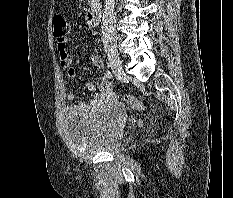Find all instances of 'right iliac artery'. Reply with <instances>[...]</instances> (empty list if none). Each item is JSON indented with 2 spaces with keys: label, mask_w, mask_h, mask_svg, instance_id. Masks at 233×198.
Masks as SVG:
<instances>
[{
  "label": "right iliac artery",
  "mask_w": 233,
  "mask_h": 198,
  "mask_svg": "<svg viewBox=\"0 0 233 198\" xmlns=\"http://www.w3.org/2000/svg\"><path fill=\"white\" fill-rule=\"evenodd\" d=\"M106 77H107V78H111V77H112V72L109 71V70H107V71H106Z\"/></svg>",
  "instance_id": "obj_1"
}]
</instances>
